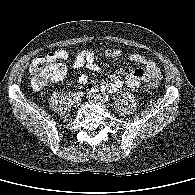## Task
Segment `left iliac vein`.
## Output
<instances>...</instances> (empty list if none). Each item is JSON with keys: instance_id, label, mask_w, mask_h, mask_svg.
<instances>
[{"instance_id": "left-iliac-vein-1", "label": "left iliac vein", "mask_w": 195, "mask_h": 195, "mask_svg": "<svg viewBox=\"0 0 195 195\" xmlns=\"http://www.w3.org/2000/svg\"><path fill=\"white\" fill-rule=\"evenodd\" d=\"M89 100L93 103H96L98 105H101V106H105L106 105V101L104 100V98H102L101 96L99 95H90L89 96Z\"/></svg>"}]
</instances>
